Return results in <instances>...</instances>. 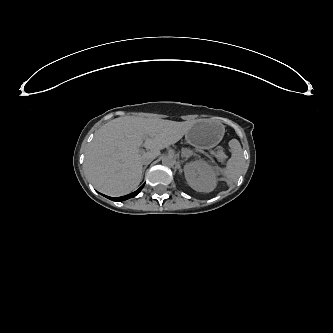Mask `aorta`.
Returning a JSON list of instances; mask_svg holds the SVG:
<instances>
[{
    "instance_id": "aorta-1",
    "label": "aorta",
    "mask_w": 333,
    "mask_h": 333,
    "mask_svg": "<svg viewBox=\"0 0 333 333\" xmlns=\"http://www.w3.org/2000/svg\"><path fill=\"white\" fill-rule=\"evenodd\" d=\"M162 164L165 167H173L175 165V158L173 155L168 154L162 158Z\"/></svg>"
}]
</instances>
